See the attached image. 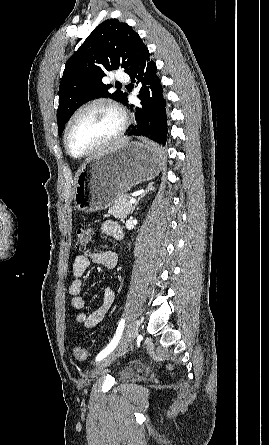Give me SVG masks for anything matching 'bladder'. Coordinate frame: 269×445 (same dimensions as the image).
I'll list each match as a JSON object with an SVG mask.
<instances>
[{"label":"bladder","instance_id":"1","mask_svg":"<svg viewBox=\"0 0 269 445\" xmlns=\"http://www.w3.org/2000/svg\"><path fill=\"white\" fill-rule=\"evenodd\" d=\"M133 373H134V370L130 368V369L123 370L120 373V375H121L122 378H127V377L131 376Z\"/></svg>","mask_w":269,"mask_h":445}]
</instances>
